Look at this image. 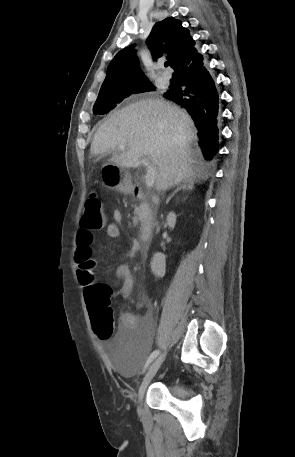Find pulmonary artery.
<instances>
[{
  "mask_svg": "<svg viewBox=\"0 0 295 457\" xmlns=\"http://www.w3.org/2000/svg\"><path fill=\"white\" fill-rule=\"evenodd\" d=\"M160 76L164 81H169L171 79V74L168 71H162Z\"/></svg>",
  "mask_w": 295,
  "mask_h": 457,
  "instance_id": "obj_1",
  "label": "pulmonary artery"
}]
</instances>
